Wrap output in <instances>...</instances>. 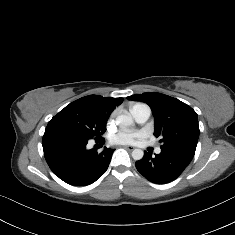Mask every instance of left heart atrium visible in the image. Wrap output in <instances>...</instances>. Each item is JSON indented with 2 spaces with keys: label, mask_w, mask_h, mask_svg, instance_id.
<instances>
[{
  "label": "left heart atrium",
  "mask_w": 235,
  "mask_h": 235,
  "mask_svg": "<svg viewBox=\"0 0 235 235\" xmlns=\"http://www.w3.org/2000/svg\"><path fill=\"white\" fill-rule=\"evenodd\" d=\"M139 137H141L140 132L119 131L110 137V141L114 144H128Z\"/></svg>",
  "instance_id": "39dd6f15"
}]
</instances>
